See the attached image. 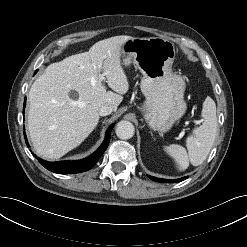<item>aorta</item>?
Wrapping results in <instances>:
<instances>
[{
  "instance_id": "762f6f07",
  "label": "aorta",
  "mask_w": 247,
  "mask_h": 247,
  "mask_svg": "<svg viewBox=\"0 0 247 247\" xmlns=\"http://www.w3.org/2000/svg\"><path fill=\"white\" fill-rule=\"evenodd\" d=\"M134 131H135L134 125L126 120H122L118 122L115 130L118 138L125 140L132 138L134 135Z\"/></svg>"
}]
</instances>
